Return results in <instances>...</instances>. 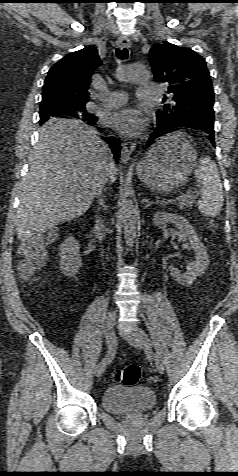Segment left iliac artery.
Masks as SVG:
<instances>
[{
  "instance_id": "44dca946",
  "label": "left iliac artery",
  "mask_w": 238,
  "mask_h": 476,
  "mask_svg": "<svg viewBox=\"0 0 238 476\" xmlns=\"http://www.w3.org/2000/svg\"><path fill=\"white\" fill-rule=\"evenodd\" d=\"M137 333L145 345L150 344V339L145 331H143L142 329H139Z\"/></svg>"
}]
</instances>
